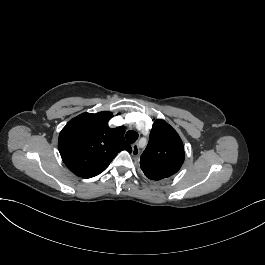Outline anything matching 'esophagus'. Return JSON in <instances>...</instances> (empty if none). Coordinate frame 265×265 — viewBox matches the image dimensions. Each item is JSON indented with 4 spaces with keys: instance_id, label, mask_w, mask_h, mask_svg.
<instances>
[{
    "instance_id": "34e87169",
    "label": "esophagus",
    "mask_w": 265,
    "mask_h": 265,
    "mask_svg": "<svg viewBox=\"0 0 265 265\" xmlns=\"http://www.w3.org/2000/svg\"><path fill=\"white\" fill-rule=\"evenodd\" d=\"M139 153H140L139 144L138 143L132 144V155L133 156H138Z\"/></svg>"
}]
</instances>
